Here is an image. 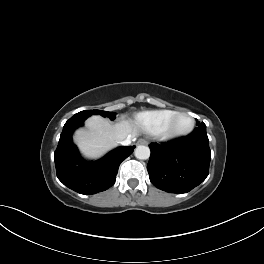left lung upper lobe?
Wrapping results in <instances>:
<instances>
[{
  "label": "left lung upper lobe",
  "instance_id": "1",
  "mask_svg": "<svg viewBox=\"0 0 264 264\" xmlns=\"http://www.w3.org/2000/svg\"><path fill=\"white\" fill-rule=\"evenodd\" d=\"M197 125L198 127H206V125L203 122L200 124L199 121H197Z\"/></svg>",
  "mask_w": 264,
  "mask_h": 264
}]
</instances>
